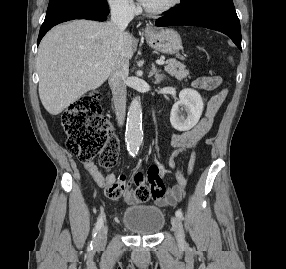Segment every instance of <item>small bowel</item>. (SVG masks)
Masks as SVG:
<instances>
[{
  "instance_id": "c3829d8e",
  "label": "small bowel",
  "mask_w": 286,
  "mask_h": 269,
  "mask_svg": "<svg viewBox=\"0 0 286 269\" xmlns=\"http://www.w3.org/2000/svg\"><path fill=\"white\" fill-rule=\"evenodd\" d=\"M200 78L217 77L204 76ZM217 112L218 110H206L203 118L197 123L196 126L186 132L174 134L172 136L171 146L173 150L168 159V166L170 169L176 170L177 183L168 189L166 195L160 198H155L158 205L164 207H174L181 200L187 186V179L183 173L184 166L177 167L175 159L182 154L186 155V168L188 174L193 173L197 159V144L210 130ZM83 167L89 172L95 183L101 188L107 189L117 179L116 175L110 173L111 168H104L107 174H103L94 162H84ZM123 199L127 202L136 201L132 191H128L124 195Z\"/></svg>"
}]
</instances>
